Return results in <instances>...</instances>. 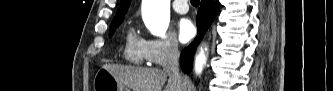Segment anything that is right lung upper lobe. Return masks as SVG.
I'll return each instance as SVG.
<instances>
[{"mask_svg": "<svg viewBox=\"0 0 333 91\" xmlns=\"http://www.w3.org/2000/svg\"><path fill=\"white\" fill-rule=\"evenodd\" d=\"M129 5H130V0H121L119 10L114 19L124 18Z\"/></svg>", "mask_w": 333, "mask_h": 91, "instance_id": "1", "label": "right lung upper lobe"}]
</instances>
